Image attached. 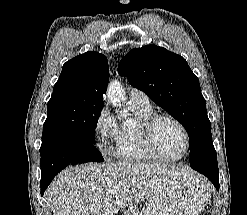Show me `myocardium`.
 Returning a JSON list of instances; mask_svg holds the SVG:
<instances>
[{"label":"myocardium","mask_w":247,"mask_h":215,"mask_svg":"<svg viewBox=\"0 0 247 215\" xmlns=\"http://www.w3.org/2000/svg\"><path fill=\"white\" fill-rule=\"evenodd\" d=\"M163 120H169L174 122L179 126V128L182 130L185 138V147L184 151L182 152L181 155L177 157H168L162 155L156 146V141H155V130L157 125L163 121ZM140 134L143 140V143L145 145V148L149 152V154L156 160L160 161H178L181 160L186 156V154L189 151L190 148V134L186 126L183 124L182 121H180L178 118L175 116H172L170 114H154L147 120L143 121L140 124Z\"/></svg>","instance_id":"1"}]
</instances>
